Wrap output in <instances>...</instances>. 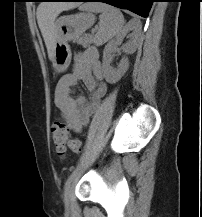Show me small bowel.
I'll use <instances>...</instances> for the list:
<instances>
[{"mask_svg":"<svg viewBox=\"0 0 202 217\" xmlns=\"http://www.w3.org/2000/svg\"><path fill=\"white\" fill-rule=\"evenodd\" d=\"M79 81H82L91 92L90 99L73 95ZM106 90L98 52L91 49L75 57L73 73L64 75L58 81L54 101L70 127L80 132L88 125Z\"/></svg>","mask_w":202,"mask_h":217,"instance_id":"obj_1","label":"small bowel"}]
</instances>
